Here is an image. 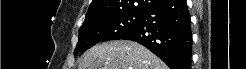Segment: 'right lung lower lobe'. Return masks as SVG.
<instances>
[{"mask_svg":"<svg viewBox=\"0 0 246 69\" xmlns=\"http://www.w3.org/2000/svg\"><path fill=\"white\" fill-rule=\"evenodd\" d=\"M120 39L142 44L170 69H191V19L186 0H167L146 10L140 24Z\"/></svg>","mask_w":246,"mask_h":69,"instance_id":"right-lung-lower-lobe-1","label":"right lung lower lobe"}]
</instances>
